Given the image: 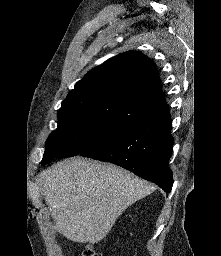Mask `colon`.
Masks as SVG:
<instances>
[{
	"label": "colon",
	"mask_w": 221,
	"mask_h": 256,
	"mask_svg": "<svg viewBox=\"0 0 221 256\" xmlns=\"http://www.w3.org/2000/svg\"><path fill=\"white\" fill-rule=\"evenodd\" d=\"M81 256H102L100 253H98L97 251H95L91 246H88L83 253L81 254Z\"/></svg>",
	"instance_id": "5ec220e1"
}]
</instances>
